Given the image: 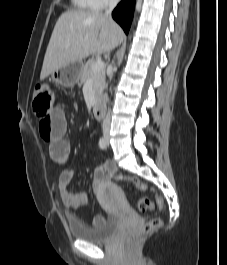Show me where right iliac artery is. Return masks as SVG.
I'll list each match as a JSON object with an SVG mask.
<instances>
[{
	"instance_id": "1",
	"label": "right iliac artery",
	"mask_w": 227,
	"mask_h": 265,
	"mask_svg": "<svg viewBox=\"0 0 227 265\" xmlns=\"http://www.w3.org/2000/svg\"><path fill=\"white\" fill-rule=\"evenodd\" d=\"M99 147L101 149H105L106 148V142H105V139L103 137L100 138V140H99Z\"/></svg>"
}]
</instances>
